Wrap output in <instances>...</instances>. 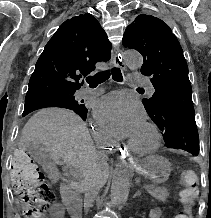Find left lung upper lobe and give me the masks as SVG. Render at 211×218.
Listing matches in <instances>:
<instances>
[{
    "instance_id": "left-lung-upper-lobe-1",
    "label": "left lung upper lobe",
    "mask_w": 211,
    "mask_h": 218,
    "mask_svg": "<svg viewBox=\"0 0 211 218\" xmlns=\"http://www.w3.org/2000/svg\"><path fill=\"white\" fill-rule=\"evenodd\" d=\"M122 43L143 56L141 73L150 79L155 92L142 103L162 131L167 147L198 155L199 137L188 66L170 27L159 18L141 14L127 27Z\"/></svg>"
}]
</instances>
